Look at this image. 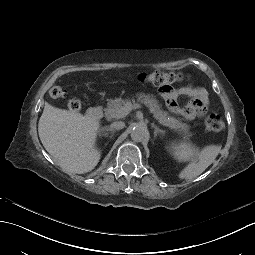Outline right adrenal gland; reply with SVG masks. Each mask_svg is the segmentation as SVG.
<instances>
[{
    "mask_svg": "<svg viewBox=\"0 0 255 255\" xmlns=\"http://www.w3.org/2000/svg\"><path fill=\"white\" fill-rule=\"evenodd\" d=\"M104 132V136L107 137L109 134L106 133V132H109L110 133V137L112 138L116 132V130L112 129L111 127H105L103 128L102 130Z\"/></svg>",
    "mask_w": 255,
    "mask_h": 255,
    "instance_id": "right-adrenal-gland-1",
    "label": "right adrenal gland"
}]
</instances>
